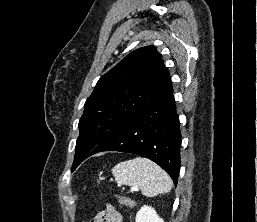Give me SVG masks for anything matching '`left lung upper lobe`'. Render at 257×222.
Wrapping results in <instances>:
<instances>
[{"label":"left lung upper lobe","mask_w":257,"mask_h":222,"mask_svg":"<svg viewBox=\"0 0 257 222\" xmlns=\"http://www.w3.org/2000/svg\"><path fill=\"white\" fill-rule=\"evenodd\" d=\"M170 84L169 72L154 46L131 52L105 73L85 102L72 169L97 153Z\"/></svg>","instance_id":"1"}]
</instances>
